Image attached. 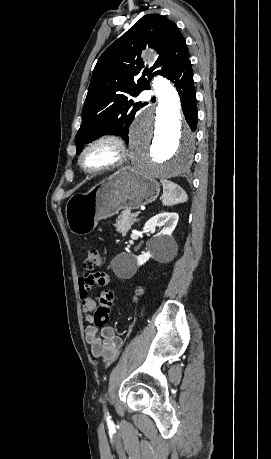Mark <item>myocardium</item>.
<instances>
[{"label":"myocardium","instance_id":"myocardium-1","mask_svg":"<svg viewBox=\"0 0 271 459\" xmlns=\"http://www.w3.org/2000/svg\"><path fill=\"white\" fill-rule=\"evenodd\" d=\"M102 141H109L114 145L115 147L114 157L111 160L95 168H92V169L85 168L83 164L84 156L86 155L88 150L93 145H95L96 143L102 142ZM126 157H127V146L125 144L123 137L115 131H103V132H100L92 136L83 144L77 156V165L84 174L93 175V174H97L102 171L109 170V169L120 166L121 164L124 163V161L126 160Z\"/></svg>","mask_w":271,"mask_h":459}]
</instances>
